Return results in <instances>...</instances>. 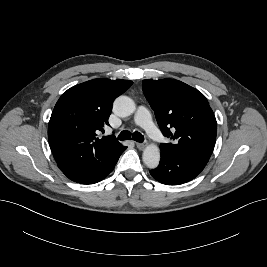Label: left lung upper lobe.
I'll list each match as a JSON object with an SVG mask.
<instances>
[{
	"instance_id": "1",
	"label": "left lung upper lobe",
	"mask_w": 267,
	"mask_h": 267,
	"mask_svg": "<svg viewBox=\"0 0 267 267\" xmlns=\"http://www.w3.org/2000/svg\"><path fill=\"white\" fill-rule=\"evenodd\" d=\"M142 88L161 132L173 140L162 143L160 150L208 162L216 141L217 122L205 96L174 79L143 80Z\"/></svg>"
}]
</instances>
